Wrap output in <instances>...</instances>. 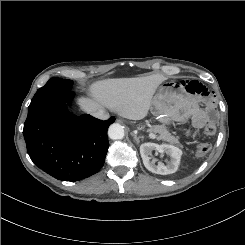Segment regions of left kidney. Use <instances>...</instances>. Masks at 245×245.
Returning a JSON list of instances; mask_svg holds the SVG:
<instances>
[{
    "label": "left kidney",
    "mask_w": 245,
    "mask_h": 245,
    "mask_svg": "<svg viewBox=\"0 0 245 245\" xmlns=\"http://www.w3.org/2000/svg\"><path fill=\"white\" fill-rule=\"evenodd\" d=\"M152 151L159 152L160 154H167L170 160L165 165L162 162L155 164V160H151L150 155ZM140 154L144 166L152 173L167 175L175 173L179 167L182 151L172 145L155 143H144L140 146Z\"/></svg>",
    "instance_id": "5707ae66"
}]
</instances>
